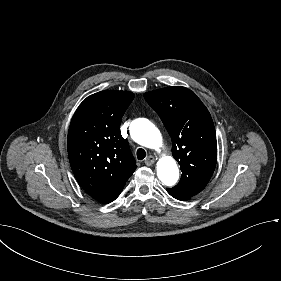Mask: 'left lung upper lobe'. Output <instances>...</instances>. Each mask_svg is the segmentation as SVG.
<instances>
[{"label":"left lung upper lobe","instance_id":"left-lung-upper-lobe-1","mask_svg":"<svg viewBox=\"0 0 281 281\" xmlns=\"http://www.w3.org/2000/svg\"><path fill=\"white\" fill-rule=\"evenodd\" d=\"M172 139V154L181 166L177 192L194 196L210 180L217 160L212 118L201 100L185 87H166L144 94Z\"/></svg>","mask_w":281,"mask_h":281}]
</instances>
